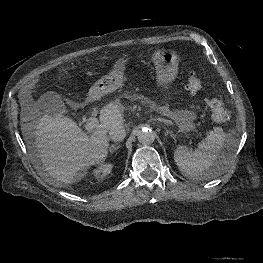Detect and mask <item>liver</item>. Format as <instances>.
<instances>
[{
    "label": "liver",
    "mask_w": 263,
    "mask_h": 263,
    "mask_svg": "<svg viewBox=\"0 0 263 263\" xmlns=\"http://www.w3.org/2000/svg\"><path fill=\"white\" fill-rule=\"evenodd\" d=\"M100 124L89 134L68 117L41 115L29 98L22 101L23 134L34 129L37 169H43L56 186L73 184L88 167L102 163L108 154V130L124 122L123 108L109 103L100 110Z\"/></svg>",
    "instance_id": "obj_1"
}]
</instances>
